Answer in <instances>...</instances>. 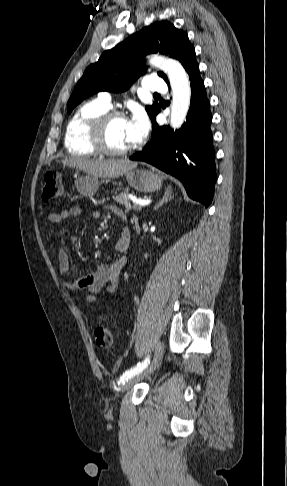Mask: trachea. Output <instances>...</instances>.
<instances>
[{"label":"trachea","mask_w":287,"mask_h":486,"mask_svg":"<svg viewBox=\"0 0 287 486\" xmlns=\"http://www.w3.org/2000/svg\"><path fill=\"white\" fill-rule=\"evenodd\" d=\"M154 96H160L159 94L155 93Z\"/></svg>","instance_id":"1"}]
</instances>
